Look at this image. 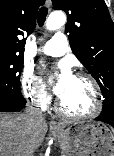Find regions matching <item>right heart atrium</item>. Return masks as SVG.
<instances>
[{"label": "right heart atrium", "mask_w": 114, "mask_h": 156, "mask_svg": "<svg viewBox=\"0 0 114 156\" xmlns=\"http://www.w3.org/2000/svg\"><path fill=\"white\" fill-rule=\"evenodd\" d=\"M20 87L26 100L37 107H45L50 97L31 69L25 68L20 77Z\"/></svg>", "instance_id": "1"}]
</instances>
